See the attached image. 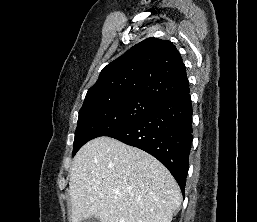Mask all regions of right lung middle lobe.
Instances as JSON below:
<instances>
[{"label": "right lung middle lobe", "mask_w": 257, "mask_h": 222, "mask_svg": "<svg viewBox=\"0 0 257 222\" xmlns=\"http://www.w3.org/2000/svg\"><path fill=\"white\" fill-rule=\"evenodd\" d=\"M159 102L145 97L98 98L83 104L79 111L73 156L88 141L119 132L152 111Z\"/></svg>", "instance_id": "right-lung-middle-lobe-1"}]
</instances>
